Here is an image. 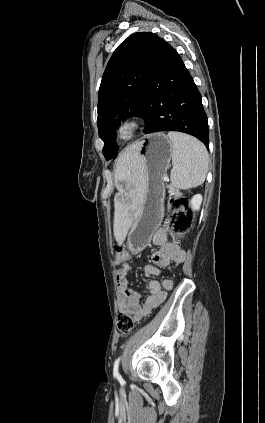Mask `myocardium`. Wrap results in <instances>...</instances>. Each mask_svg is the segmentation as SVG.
Here are the masks:
<instances>
[{"label": "myocardium", "instance_id": "f54148a6", "mask_svg": "<svg viewBox=\"0 0 265 423\" xmlns=\"http://www.w3.org/2000/svg\"><path fill=\"white\" fill-rule=\"evenodd\" d=\"M141 122L135 118H129L121 121L115 128V134L118 140L127 142L132 140L140 131Z\"/></svg>", "mask_w": 265, "mask_h": 423}]
</instances>
